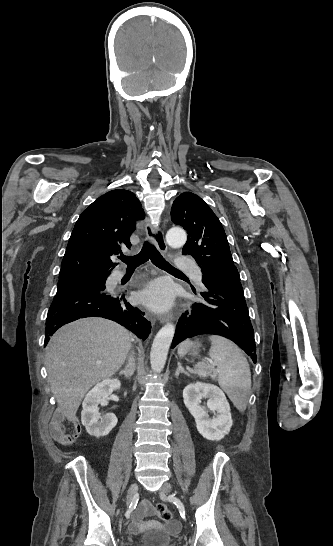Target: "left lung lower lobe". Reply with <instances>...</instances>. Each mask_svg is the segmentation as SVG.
<instances>
[{"label": "left lung lower lobe", "instance_id": "left-lung-lower-lobe-1", "mask_svg": "<svg viewBox=\"0 0 333 546\" xmlns=\"http://www.w3.org/2000/svg\"><path fill=\"white\" fill-rule=\"evenodd\" d=\"M202 302L194 303L179 319L172 348L202 334L220 335L235 342L256 363V346L241 283H214L202 276Z\"/></svg>", "mask_w": 333, "mask_h": 546}]
</instances>
